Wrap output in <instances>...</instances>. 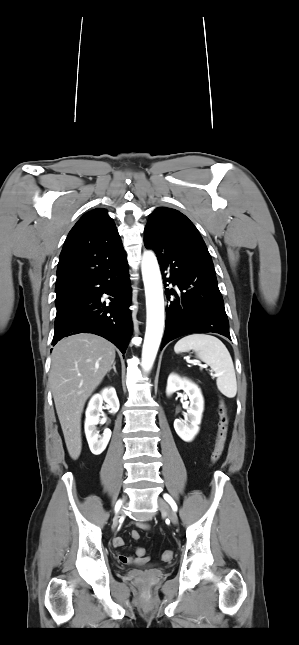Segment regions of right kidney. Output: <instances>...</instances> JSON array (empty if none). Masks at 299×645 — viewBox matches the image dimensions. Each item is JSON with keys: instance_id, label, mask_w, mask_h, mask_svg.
Returning <instances> with one entry per match:
<instances>
[{"instance_id": "right-kidney-1", "label": "right kidney", "mask_w": 299, "mask_h": 645, "mask_svg": "<svg viewBox=\"0 0 299 645\" xmlns=\"http://www.w3.org/2000/svg\"><path fill=\"white\" fill-rule=\"evenodd\" d=\"M103 401L107 403V407L111 409L112 413H116L120 406L114 388H106L90 399L86 409L84 428L89 448L95 455H99L105 450L111 437L110 429H105L102 436H100L96 427L100 422L99 412L102 410Z\"/></svg>"}]
</instances>
